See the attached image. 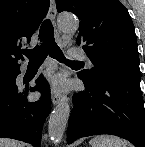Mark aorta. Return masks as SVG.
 I'll use <instances>...</instances> for the list:
<instances>
[{"label":"aorta","mask_w":145,"mask_h":147,"mask_svg":"<svg viewBox=\"0 0 145 147\" xmlns=\"http://www.w3.org/2000/svg\"><path fill=\"white\" fill-rule=\"evenodd\" d=\"M77 20L70 14H63L58 19L59 29L63 32H71L78 28ZM70 116V106L67 102H61L53 110L48 121V134L54 143H58L65 132Z\"/></svg>","instance_id":"762f6f07"}]
</instances>
